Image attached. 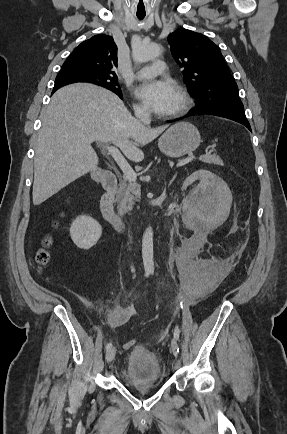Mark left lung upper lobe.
<instances>
[{
	"instance_id": "1",
	"label": "left lung upper lobe",
	"mask_w": 287,
	"mask_h": 434,
	"mask_svg": "<svg viewBox=\"0 0 287 434\" xmlns=\"http://www.w3.org/2000/svg\"><path fill=\"white\" fill-rule=\"evenodd\" d=\"M171 53L184 75L197 107H243L235 83L219 48L206 36L177 29L168 35Z\"/></svg>"
}]
</instances>
